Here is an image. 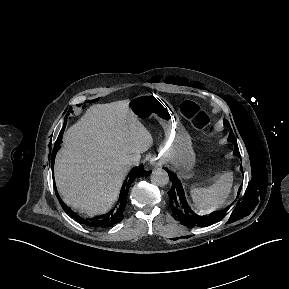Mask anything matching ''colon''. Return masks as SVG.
<instances>
[{"instance_id": "5ec220e1", "label": "colon", "mask_w": 289, "mask_h": 289, "mask_svg": "<svg viewBox=\"0 0 289 289\" xmlns=\"http://www.w3.org/2000/svg\"><path fill=\"white\" fill-rule=\"evenodd\" d=\"M183 110L186 112L188 116L194 118L196 120H201L202 112L198 105L191 101H185L183 103Z\"/></svg>"}]
</instances>
